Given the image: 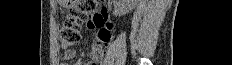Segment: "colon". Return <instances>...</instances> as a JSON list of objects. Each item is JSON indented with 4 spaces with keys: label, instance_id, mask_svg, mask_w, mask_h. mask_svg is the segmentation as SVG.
Segmentation results:
<instances>
[{
    "label": "colon",
    "instance_id": "5ec220e1",
    "mask_svg": "<svg viewBox=\"0 0 232 65\" xmlns=\"http://www.w3.org/2000/svg\"><path fill=\"white\" fill-rule=\"evenodd\" d=\"M97 3L96 0L73 1V6L69 11V15L64 21L60 32V41L63 48H70L79 41L80 26L95 10ZM105 38L106 36L97 37L93 46L94 65L95 62H101L104 57L106 48V43L104 42Z\"/></svg>",
    "mask_w": 232,
    "mask_h": 65
}]
</instances>
